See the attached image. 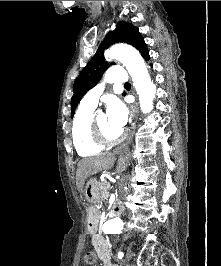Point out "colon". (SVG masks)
Segmentation results:
<instances>
[{"label":"colon","instance_id":"1","mask_svg":"<svg viewBox=\"0 0 221 266\" xmlns=\"http://www.w3.org/2000/svg\"><path fill=\"white\" fill-rule=\"evenodd\" d=\"M85 262L88 266H91L95 262V256L92 252L87 253Z\"/></svg>","mask_w":221,"mask_h":266}]
</instances>
